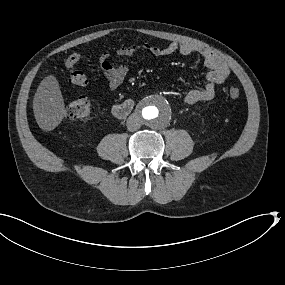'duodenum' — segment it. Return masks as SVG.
Returning <instances> with one entry per match:
<instances>
[{
  "instance_id": "obj_1",
  "label": "duodenum",
  "mask_w": 285,
  "mask_h": 285,
  "mask_svg": "<svg viewBox=\"0 0 285 285\" xmlns=\"http://www.w3.org/2000/svg\"><path fill=\"white\" fill-rule=\"evenodd\" d=\"M133 106L134 103L132 100H126L122 103L114 105L112 107V113L117 118H125L131 113Z\"/></svg>"
}]
</instances>
